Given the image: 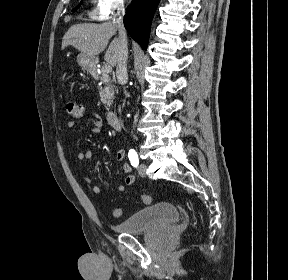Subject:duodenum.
<instances>
[{
    "label": "duodenum",
    "mask_w": 288,
    "mask_h": 280,
    "mask_svg": "<svg viewBox=\"0 0 288 280\" xmlns=\"http://www.w3.org/2000/svg\"><path fill=\"white\" fill-rule=\"evenodd\" d=\"M93 74L97 75V70L95 68L92 69ZM107 122L109 124V126L116 130L119 131L121 129V122L119 117L117 116V114H115L114 112H108L107 114Z\"/></svg>",
    "instance_id": "1"
}]
</instances>
